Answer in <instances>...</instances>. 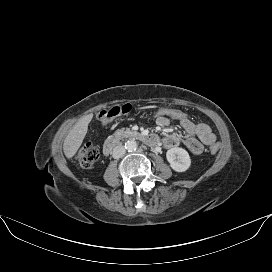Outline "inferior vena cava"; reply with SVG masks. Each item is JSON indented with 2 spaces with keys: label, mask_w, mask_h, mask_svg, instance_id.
Here are the masks:
<instances>
[{
  "label": "inferior vena cava",
  "mask_w": 272,
  "mask_h": 272,
  "mask_svg": "<svg viewBox=\"0 0 272 272\" xmlns=\"http://www.w3.org/2000/svg\"><path fill=\"white\" fill-rule=\"evenodd\" d=\"M126 150L124 148V146L122 145H118L116 147H114L113 151H112V157L115 159H119L122 156H124Z\"/></svg>",
  "instance_id": "obj_1"
}]
</instances>
